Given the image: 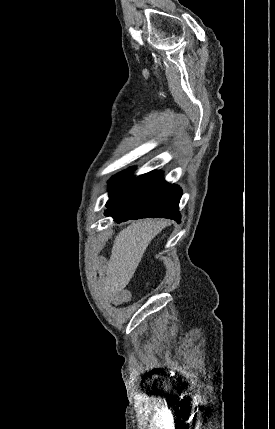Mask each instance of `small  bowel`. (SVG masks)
I'll return each instance as SVG.
<instances>
[{"label":"small bowel","instance_id":"c3829d8e","mask_svg":"<svg viewBox=\"0 0 275 429\" xmlns=\"http://www.w3.org/2000/svg\"><path fill=\"white\" fill-rule=\"evenodd\" d=\"M130 298H131L130 292L127 289L122 288V289L112 290L108 299L110 303L114 305H120L125 302H128Z\"/></svg>","mask_w":275,"mask_h":429}]
</instances>
